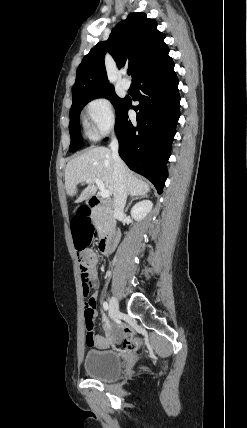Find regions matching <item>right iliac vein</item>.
<instances>
[{"instance_id":"1","label":"right iliac vein","mask_w":247,"mask_h":428,"mask_svg":"<svg viewBox=\"0 0 247 428\" xmlns=\"http://www.w3.org/2000/svg\"><path fill=\"white\" fill-rule=\"evenodd\" d=\"M119 314V304L115 297H112L109 302V315L115 319Z\"/></svg>"}]
</instances>
